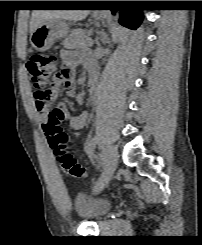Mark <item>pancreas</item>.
Here are the masks:
<instances>
[{"mask_svg":"<svg viewBox=\"0 0 202 245\" xmlns=\"http://www.w3.org/2000/svg\"><path fill=\"white\" fill-rule=\"evenodd\" d=\"M90 38L82 29H76L63 41V46L66 48H85L89 45Z\"/></svg>","mask_w":202,"mask_h":245,"instance_id":"cf45deb5","label":"pancreas"}]
</instances>
